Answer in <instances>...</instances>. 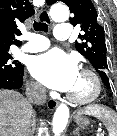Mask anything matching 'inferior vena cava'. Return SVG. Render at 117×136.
Masks as SVG:
<instances>
[{"label": "inferior vena cava", "mask_w": 117, "mask_h": 136, "mask_svg": "<svg viewBox=\"0 0 117 136\" xmlns=\"http://www.w3.org/2000/svg\"><path fill=\"white\" fill-rule=\"evenodd\" d=\"M26 95L29 102L37 105H43L46 103V89L38 83L30 84Z\"/></svg>", "instance_id": "1"}]
</instances>
